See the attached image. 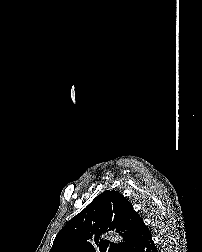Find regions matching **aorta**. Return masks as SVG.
<instances>
[{"mask_svg":"<svg viewBox=\"0 0 202 252\" xmlns=\"http://www.w3.org/2000/svg\"><path fill=\"white\" fill-rule=\"evenodd\" d=\"M109 239H111L112 241L114 240V241H121V237H119L118 235H116V236H110V238Z\"/></svg>","mask_w":202,"mask_h":252,"instance_id":"1","label":"aorta"}]
</instances>
